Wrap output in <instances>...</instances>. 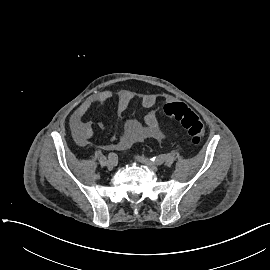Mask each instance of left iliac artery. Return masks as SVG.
I'll use <instances>...</instances> for the list:
<instances>
[{
  "label": "left iliac artery",
  "mask_w": 270,
  "mask_h": 270,
  "mask_svg": "<svg viewBox=\"0 0 270 270\" xmlns=\"http://www.w3.org/2000/svg\"><path fill=\"white\" fill-rule=\"evenodd\" d=\"M168 159H169V157L167 155L163 154V155H159V156L153 157L151 160L154 163L160 165L163 162L168 161Z\"/></svg>",
  "instance_id": "left-iliac-artery-1"
}]
</instances>
